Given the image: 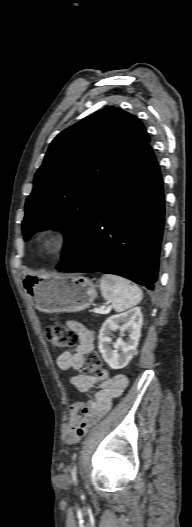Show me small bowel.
Masks as SVG:
<instances>
[{"label": "small bowel", "mask_w": 192, "mask_h": 527, "mask_svg": "<svg viewBox=\"0 0 192 527\" xmlns=\"http://www.w3.org/2000/svg\"><path fill=\"white\" fill-rule=\"evenodd\" d=\"M67 326L76 332L79 342L73 350L64 351L57 357V366L61 370L80 371L84 366L85 356L94 348V335L80 322L71 320L67 322ZM97 381L96 377L87 374L70 377V383L80 392L90 391ZM127 383V378L122 374L106 376L92 399L72 405L66 429L67 441L78 442L88 428L95 425L110 409L112 400L123 393Z\"/></svg>", "instance_id": "small-bowel-1"}]
</instances>
